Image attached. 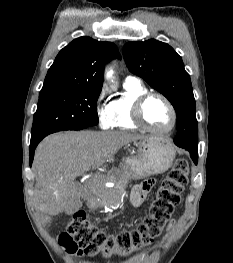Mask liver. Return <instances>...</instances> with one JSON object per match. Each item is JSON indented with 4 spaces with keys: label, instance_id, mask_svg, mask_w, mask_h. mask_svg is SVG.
<instances>
[{
    "label": "liver",
    "instance_id": "1",
    "mask_svg": "<svg viewBox=\"0 0 233 263\" xmlns=\"http://www.w3.org/2000/svg\"><path fill=\"white\" fill-rule=\"evenodd\" d=\"M148 136L126 131L65 132L44 138L38 145L33 162L36 179V208L50 224L69 205L76 192L74 180L96 164L112 160L124 145Z\"/></svg>",
    "mask_w": 233,
    "mask_h": 263
}]
</instances>
